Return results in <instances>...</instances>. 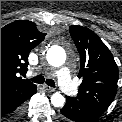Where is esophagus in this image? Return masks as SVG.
Returning a JSON list of instances; mask_svg holds the SVG:
<instances>
[{
    "mask_svg": "<svg viewBox=\"0 0 122 122\" xmlns=\"http://www.w3.org/2000/svg\"><path fill=\"white\" fill-rule=\"evenodd\" d=\"M43 87H44V89H45L46 91H48V92H54V91H55V88H52V87H50V86H48V85H44Z\"/></svg>",
    "mask_w": 122,
    "mask_h": 122,
    "instance_id": "obj_1",
    "label": "esophagus"
}]
</instances>
